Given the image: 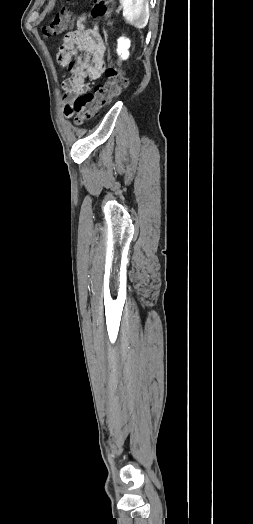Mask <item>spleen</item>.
Returning <instances> with one entry per match:
<instances>
[{
    "mask_svg": "<svg viewBox=\"0 0 253 524\" xmlns=\"http://www.w3.org/2000/svg\"><path fill=\"white\" fill-rule=\"evenodd\" d=\"M123 7L125 20L138 29L144 28L149 20V8L146 0H119Z\"/></svg>",
    "mask_w": 253,
    "mask_h": 524,
    "instance_id": "3e777b00",
    "label": "spleen"
}]
</instances>
